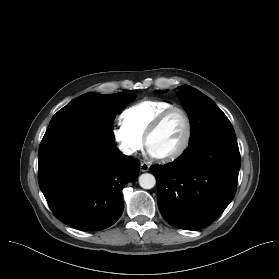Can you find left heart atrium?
Returning <instances> with one entry per match:
<instances>
[{"label":"left heart atrium","instance_id":"39dd6f15","mask_svg":"<svg viewBox=\"0 0 279 279\" xmlns=\"http://www.w3.org/2000/svg\"><path fill=\"white\" fill-rule=\"evenodd\" d=\"M149 152H150V154L154 155L151 151H149Z\"/></svg>","mask_w":279,"mask_h":279}]
</instances>
